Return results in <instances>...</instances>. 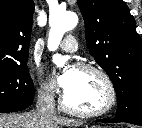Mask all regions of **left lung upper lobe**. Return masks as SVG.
Instances as JSON below:
<instances>
[{
	"mask_svg": "<svg viewBox=\"0 0 142 128\" xmlns=\"http://www.w3.org/2000/svg\"><path fill=\"white\" fill-rule=\"evenodd\" d=\"M90 54L117 91L116 118H142V43L122 0H77Z\"/></svg>",
	"mask_w": 142,
	"mask_h": 128,
	"instance_id": "1",
	"label": "left lung upper lobe"
}]
</instances>
